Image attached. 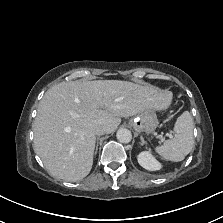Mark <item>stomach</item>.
Masks as SVG:
<instances>
[{
  "instance_id": "obj_1",
  "label": "stomach",
  "mask_w": 223,
  "mask_h": 223,
  "mask_svg": "<svg viewBox=\"0 0 223 223\" xmlns=\"http://www.w3.org/2000/svg\"><path fill=\"white\" fill-rule=\"evenodd\" d=\"M132 125L137 132L150 134L158 126V119L154 109H147L134 117Z\"/></svg>"
}]
</instances>
